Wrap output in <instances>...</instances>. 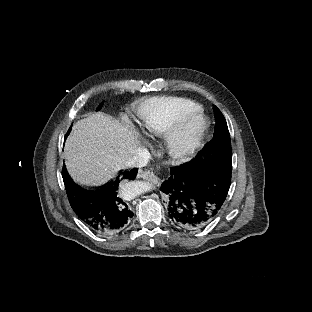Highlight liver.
Here are the masks:
<instances>
[{
	"label": "liver",
	"mask_w": 312,
	"mask_h": 312,
	"mask_svg": "<svg viewBox=\"0 0 312 312\" xmlns=\"http://www.w3.org/2000/svg\"><path fill=\"white\" fill-rule=\"evenodd\" d=\"M142 146L134 132L102 112L77 121L63 157L72 179L82 186H101L116 177L125 161Z\"/></svg>",
	"instance_id": "obj_1"
}]
</instances>
